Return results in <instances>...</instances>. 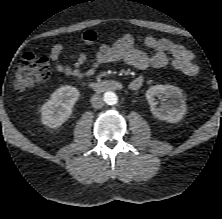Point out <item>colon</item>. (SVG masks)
<instances>
[{"label": "colon", "mask_w": 222, "mask_h": 219, "mask_svg": "<svg viewBox=\"0 0 222 219\" xmlns=\"http://www.w3.org/2000/svg\"><path fill=\"white\" fill-rule=\"evenodd\" d=\"M51 74V68L47 57L37 56L33 53H25L15 65L12 87L16 91H23L47 81ZM212 86H216V80L211 79Z\"/></svg>", "instance_id": "obj_1"}]
</instances>
